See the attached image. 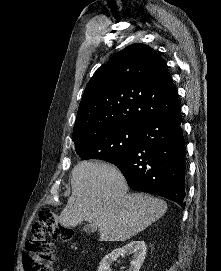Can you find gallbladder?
<instances>
[{"label":"gallbladder","mask_w":221,"mask_h":271,"mask_svg":"<svg viewBox=\"0 0 221 271\" xmlns=\"http://www.w3.org/2000/svg\"><path fill=\"white\" fill-rule=\"evenodd\" d=\"M96 229V225H91V223H88V225H84L83 227V231H87V233H92V231H96Z\"/></svg>","instance_id":"obj_1"}]
</instances>
